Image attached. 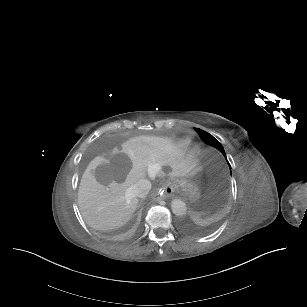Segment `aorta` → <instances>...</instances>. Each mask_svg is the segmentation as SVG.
<instances>
[{
	"label": "aorta",
	"instance_id": "762f6f07",
	"mask_svg": "<svg viewBox=\"0 0 307 307\" xmlns=\"http://www.w3.org/2000/svg\"><path fill=\"white\" fill-rule=\"evenodd\" d=\"M172 212L176 216H182L187 213V206L182 200L176 199L172 202Z\"/></svg>",
	"mask_w": 307,
	"mask_h": 307
}]
</instances>
